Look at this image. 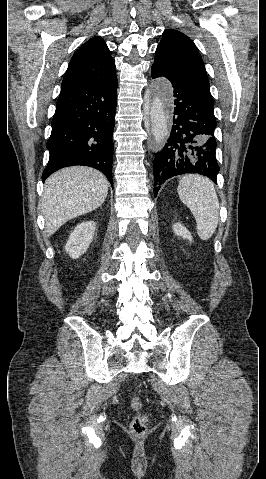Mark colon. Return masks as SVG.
Here are the masks:
<instances>
[{"label": "colon", "instance_id": "5ec220e1", "mask_svg": "<svg viewBox=\"0 0 266 479\" xmlns=\"http://www.w3.org/2000/svg\"><path fill=\"white\" fill-rule=\"evenodd\" d=\"M130 406L136 415L130 423V430L133 435L142 437L147 433L148 416L142 412L143 403L139 397H132L130 400Z\"/></svg>", "mask_w": 266, "mask_h": 479}]
</instances>
